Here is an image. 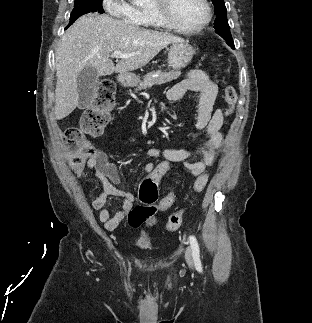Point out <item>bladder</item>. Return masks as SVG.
Here are the masks:
<instances>
[{
  "label": "bladder",
  "instance_id": "31cf9c89",
  "mask_svg": "<svg viewBox=\"0 0 312 323\" xmlns=\"http://www.w3.org/2000/svg\"><path fill=\"white\" fill-rule=\"evenodd\" d=\"M150 243V239L148 237H143L139 240V246L145 247L148 246Z\"/></svg>",
  "mask_w": 312,
  "mask_h": 323
}]
</instances>
